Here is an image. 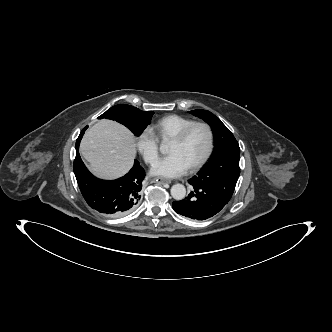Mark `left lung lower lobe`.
<instances>
[{
	"label": "left lung lower lobe",
	"instance_id": "1",
	"mask_svg": "<svg viewBox=\"0 0 332 332\" xmlns=\"http://www.w3.org/2000/svg\"><path fill=\"white\" fill-rule=\"evenodd\" d=\"M188 183L192 185L193 191L185 199L174 201L172 204L177 214L194 220H206L217 214L229 202L208 188L198 177H193Z\"/></svg>",
	"mask_w": 332,
	"mask_h": 332
}]
</instances>
